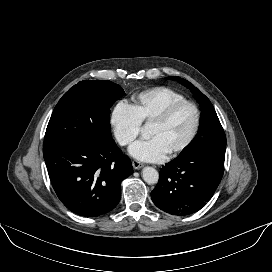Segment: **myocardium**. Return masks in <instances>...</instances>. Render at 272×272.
Returning a JSON list of instances; mask_svg holds the SVG:
<instances>
[{
  "label": "myocardium",
  "mask_w": 272,
  "mask_h": 272,
  "mask_svg": "<svg viewBox=\"0 0 272 272\" xmlns=\"http://www.w3.org/2000/svg\"><path fill=\"white\" fill-rule=\"evenodd\" d=\"M183 107H190L193 110L194 113V125L192 128L191 133L187 137V139L178 147L174 148L170 152H168L169 156H176L186 150L191 143L196 138L200 125H201V114L198 106L189 100H183L179 102H175L171 105H169L167 108H165L161 113H159L157 116H155L150 123H156V124H162L167 122L178 110H180Z\"/></svg>",
  "instance_id": "f54148a6"
}]
</instances>
